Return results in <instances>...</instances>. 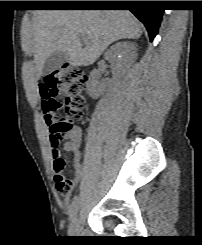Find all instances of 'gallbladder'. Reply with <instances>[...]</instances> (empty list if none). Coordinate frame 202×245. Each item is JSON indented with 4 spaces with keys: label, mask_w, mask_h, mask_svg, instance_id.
<instances>
[{
    "label": "gallbladder",
    "mask_w": 202,
    "mask_h": 245,
    "mask_svg": "<svg viewBox=\"0 0 202 245\" xmlns=\"http://www.w3.org/2000/svg\"><path fill=\"white\" fill-rule=\"evenodd\" d=\"M67 60V54L62 51L53 52L45 61L42 74L48 75L60 68V66Z\"/></svg>",
    "instance_id": "bac80fb5"
}]
</instances>
